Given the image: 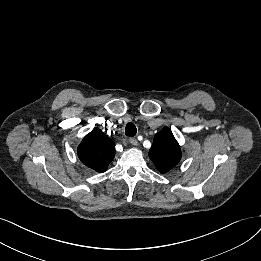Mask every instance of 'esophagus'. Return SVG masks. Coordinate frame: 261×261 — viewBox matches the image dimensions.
Here are the masks:
<instances>
[{
    "label": "esophagus",
    "instance_id": "obj_1",
    "mask_svg": "<svg viewBox=\"0 0 261 261\" xmlns=\"http://www.w3.org/2000/svg\"><path fill=\"white\" fill-rule=\"evenodd\" d=\"M129 142H130L132 145H134V146H137V145H138V141H137L136 138H130V139H129Z\"/></svg>",
    "mask_w": 261,
    "mask_h": 261
}]
</instances>
